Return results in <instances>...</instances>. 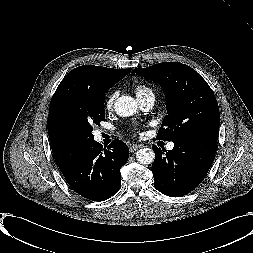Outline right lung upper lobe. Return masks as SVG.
<instances>
[{"instance_id":"right-lung-upper-lobe-1","label":"right lung upper lobe","mask_w":253,"mask_h":253,"mask_svg":"<svg viewBox=\"0 0 253 253\" xmlns=\"http://www.w3.org/2000/svg\"><path fill=\"white\" fill-rule=\"evenodd\" d=\"M129 69H112L101 66L84 65L71 70L57 87L50 102L48 114V134L54 159L65 173L75 162L81 151L89 144L69 136L59 123L60 113L70 108L75 92L82 88L107 89L124 78Z\"/></svg>"}]
</instances>
